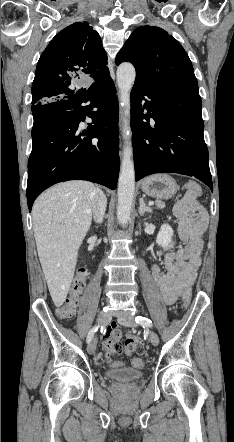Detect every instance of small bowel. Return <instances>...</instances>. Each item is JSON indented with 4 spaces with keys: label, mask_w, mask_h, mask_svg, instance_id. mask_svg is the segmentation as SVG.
<instances>
[{
    "label": "small bowel",
    "mask_w": 234,
    "mask_h": 442,
    "mask_svg": "<svg viewBox=\"0 0 234 442\" xmlns=\"http://www.w3.org/2000/svg\"><path fill=\"white\" fill-rule=\"evenodd\" d=\"M174 215L179 222L178 236L183 242V246L177 250H172L175 239L165 244L156 256L163 255L164 273L157 264L152 266V276L160 289L164 301L171 305L181 295L182 291L190 287L196 280L200 267V251L202 248V236L208 224V213L198 202L195 195L186 193L174 207ZM122 331L116 324L112 323L105 334L103 342V352L112 349H120L119 342ZM125 353L131 356L134 352L138 356H143L148 350L147 345L141 342L138 335L128 336L125 340ZM132 365L134 362L132 360Z\"/></svg>",
    "instance_id": "small-bowel-1"
}]
</instances>
